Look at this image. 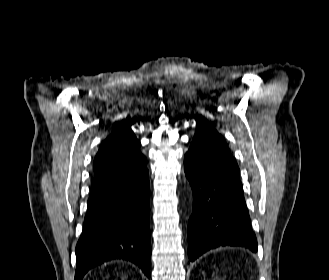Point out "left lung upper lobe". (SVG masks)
Segmentation results:
<instances>
[{"label": "left lung upper lobe", "mask_w": 329, "mask_h": 280, "mask_svg": "<svg viewBox=\"0 0 329 280\" xmlns=\"http://www.w3.org/2000/svg\"><path fill=\"white\" fill-rule=\"evenodd\" d=\"M230 155L224 138L207 122L198 121L192 144L185 155L184 162L196 171L206 175H216L220 157Z\"/></svg>", "instance_id": "5c2ea615"}]
</instances>
